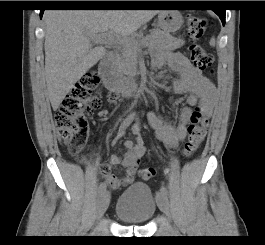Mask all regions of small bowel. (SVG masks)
<instances>
[{
    "mask_svg": "<svg viewBox=\"0 0 265 245\" xmlns=\"http://www.w3.org/2000/svg\"><path fill=\"white\" fill-rule=\"evenodd\" d=\"M151 64L156 69L166 67L169 71L178 75L177 78L171 81L169 86L173 94L183 96V105L179 113L178 123L175 126L171 125L169 116L159 112H150L147 116L148 122L156 131L158 138L166 146L174 149L186 139L188 127L191 124L193 107L210 99L213 96L214 86L202 75L198 68L194 67L178 52L168 53L165 56L153 55ZM109 101L116 103L117 98L111 96ZM155 104L158 106V103ZM126 128H119L113 144L125 134ZM132 133L134 141L126 140L124 142L127 152L123 158L113 154L110 156L107 166H89L91 172L99 173L113 189H119L133 183L136 169L145 153L143 141L136 126L132 128ZM116 165H122L126 168L124 176L120 177L112 173L111 168Z\"/></svg>",
    "mask_w": 265,
    "mask_h": 245,
    "instance_id": "obj_1",
    "label": "small bowel"
}]
</instances>
